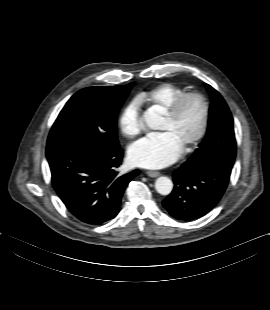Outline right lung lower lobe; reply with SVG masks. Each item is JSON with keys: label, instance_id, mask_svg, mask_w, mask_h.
<instances>
[{"label": "right lung lower lobe", "instance_id": "obj_1", "mask_svg": "<svg viewBox=\"0 0 270 310\" xmlns=\"http://www.w3.org/2000/svg\"><path fill=\"white\" fill-rule=\"evenodd\" d=\"M46 156L56 193L77 219L92 225H100L119 213L125 188L139 174L134 170L120 176L115 171L123 158L120 147L108 151L50 145Z\"/></svg>", "mask_w": 270, "mask_h": 310}]
</instances>
